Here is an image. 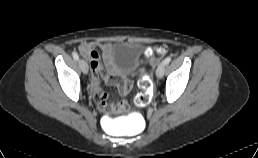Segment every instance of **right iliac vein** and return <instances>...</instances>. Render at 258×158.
Returning <instances> with one entry per match:
<instances>
[{
    "label": "right iliac vein",
    "instance_id": "1",
    "mask_svg": "<svg viewBox=\"0 0 258 158\" xmlns=\"http://www.w3.org/2000/svg\"><path fill=\"white\" fill-rule=\"evenodd\" d=\"M79 65H80V68H81L82 72L84 74H87L88 73V64L86 63V61L83 60V59H80L79 60Z\"/></svg>",
    "mask_w": 258,
    "mask_h": 158
}]
</instances>
